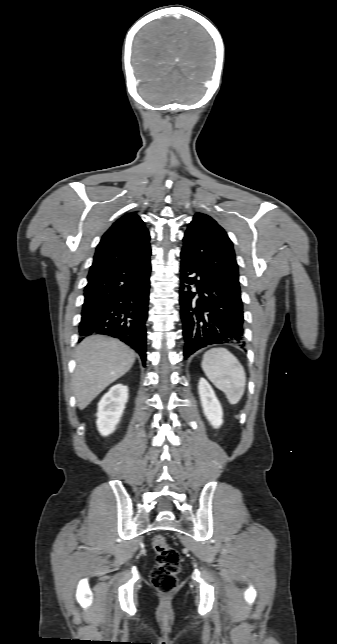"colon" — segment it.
Masks as SVG:
<instances>
[{
    "label": "colon",
    "mask_w": 337,
    "mask_h": 644,
    "mask_svg": "<svg viewBox=\"0 0 337 644\" xmlns=\"http://www.w3.org/2000/svg\"><path fill=\"white\" fill-rule=\"evenodd\" d=\"M156 553V565L151 572L153 586L164 594L173 592L177 585L180 571L179 552L168 545L162 535H156L152 541Z\"/></svg>",
    "instance_id": "colon-1"
}]
</instances>
